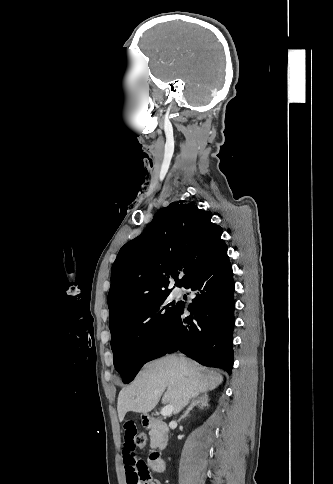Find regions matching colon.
<instances>
[{"mask_svg": "<svg viewBox=\"0 0 333 484\" xmlns=\"http://www.w3.org/2000/svg\"><path fill=\"white\" fill-rule=\"evenodd\" d=\"M146 443V436L144 433H139L137 436H136V439H135V444L136 446L138 447H143Z\"/></svg>", "mask_w": 333, "mask_h": 484, "instance_id": "colon-1", "label": "colon"}]
</instances>
